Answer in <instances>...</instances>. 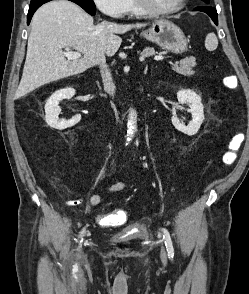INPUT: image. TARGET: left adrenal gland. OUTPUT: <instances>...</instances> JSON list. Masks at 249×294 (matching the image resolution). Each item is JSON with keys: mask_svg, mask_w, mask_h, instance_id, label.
<instances>
[{"mask_svg": "<svg viewBox=\"0 0 249 294\" xmlns=\"http://www.w3.org/2000/svg\"><path fill=\"white\" fill-rule=\"evenodd\" d=\"M147 72V66H146V68H145V70H144V73H146Z\"/></svg>", "mask_w": 249, "mask_h": 294, "instance_id": "a2214340", "label": "left adrenal gland"}]
</instances>
